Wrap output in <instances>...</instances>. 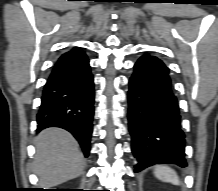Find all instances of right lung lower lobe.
<instances>
[{"instance_id":"1","label":"right lung lower lobe","mask_w":218,"mask_h":191,"mask_svg":"<svg viewBox=\"0 0 218 191\" xmlns=\"http://www.w3.org/2000/svg\"><path fill=\"white\" fill-rule=\"evenodd\" d=\"M94 83L84 51L74 47L55 63L43 88L37 114V131L48 127L66 129L78 140L87 157L94 116Z\"/></svg>"}]
</instances>
